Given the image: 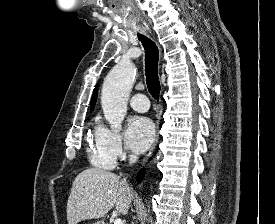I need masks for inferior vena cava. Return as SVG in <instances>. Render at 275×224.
<instances>
[{
    "mask_svg": "<svg viewBox=\"0 0 275 224\" xmlns=\"http://www.w3.org/2000/svg\"><path fill=\"white\" fill-rule=\"evenodd\" d=\"M138 157L134 154L130 155L129 157V164L132 165L137 161ZM124 181L126 182V179H124Z\"/></svg>",
    "mask_w": 275,
    "mask_h": 224,
    "instance_id": "inferior-vena-cava-1",
    "label": "inferior vena cava"
}]
</instances>
